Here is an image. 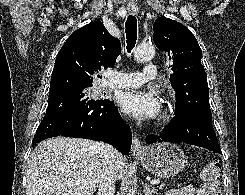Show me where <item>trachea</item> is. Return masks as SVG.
<instances>
[{"label": "trachea", "instance_id": "3493384b", "mask_svg": "<svg viewBox=\"0 0 245 195\" xmlns=\"http://www.w3.org/2000/svg\"><path fill=\"white\" fill-rule=\"evenodd\" d=\"M125 33L127 38V51L131 52L137 40V19L133 15H129L125 23Z\"/></svg>", "mask_w": 245, "mask_h": 195}]
</instances>
